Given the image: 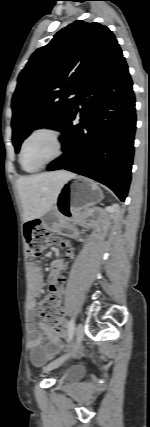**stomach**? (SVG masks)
Segmentation results:
<instances>
[{"instance_id":"obj_1","label":"stomach","mask_w":150,"mask_h":427,"mask_svg":"<svg viewBox=\"0 0 150 427\" xmlns=\"http://www.w3.org/2000/svg\"><path fill=\"white\" fill-rule=\"evenodd\" d=\"M101 198L102 192L96 184L83 178H75L72 182L63 184L53 212L59 218L74 221L82 210L95 205Z\"/></svg>"}]
</instances>
